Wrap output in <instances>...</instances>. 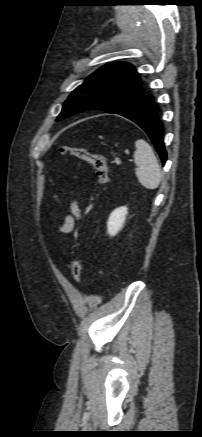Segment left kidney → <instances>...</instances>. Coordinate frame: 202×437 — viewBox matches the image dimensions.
<instances>
[{"label": "left kidney", "mask_w": 202, "mask_h": 437, "mask_svg": "<svg viewBox=\"0 0 202 437\" xmlns=\"http://www.w3.org/2000/svg\"><path fill=\"white\" fill-rule=\"evenodd\" d=\"M127 214H128V208L126 206L116 208L110 214L107 222L108 234L110 236H115L122 229Z\"/></svg>", "instance_id": "1"}]
</instances>
